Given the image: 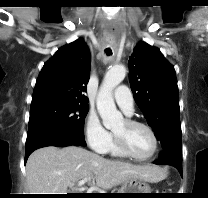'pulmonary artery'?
Wrapping results in <instances>:
<instances>
[{"label":"pulmonary artery","mask_w":208,"mask_h":198,"mask_svg":"<svg viewBox=\"0 0 208 198\" xmlns=\"http://www.w3.org/2000/svg\"><path fill=\"white\" fill-rule=\"evenodd\" d=\"M114 99L118 106L124 111L125 114L131 115L134 111V99L130 89L121 85L114 91Z\"/></svg>","instance_id":"1"}]
</instances>
